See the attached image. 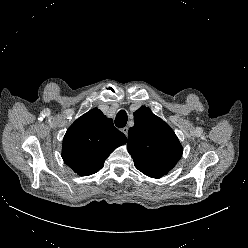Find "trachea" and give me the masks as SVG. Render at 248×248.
Instances as JSON below:
<instances>
[{"label": "trachea", "mask_w": 248, "mask_h": 248, "mask_svg": "<svg viewBox=\"0 0 248 248\" xmlns=\"http://www.w3.org/2000/svg\"><path fill=\"white\" fill-rule=\"evenodd\" d=\"M126 123H127V113L125 110H120L116 115L115 125L118 128H122L125 127Z\"/></svg>", "instance_id": "trachea-1"}]
</instances>
